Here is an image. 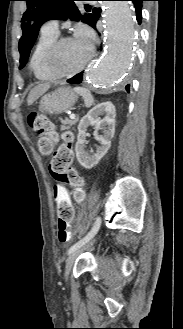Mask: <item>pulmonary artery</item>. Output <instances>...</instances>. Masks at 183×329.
Instances as JSON below:
<instances>
[{"mask_svg": "<svg viewBox=\"0 0 183 329\" xmlns=\"http://www.w3.org/2000/svg\"><path fill=\"white\" fill-rule=\"evenodd\" d=\"M42 32L58 34V21L56 19L47 21L42 26Z\"/></svg>", "mask_w": 183, "mask_h": 329, "instance_id": "obj_1", "label": "pulmonary artery"}]
</instances>
